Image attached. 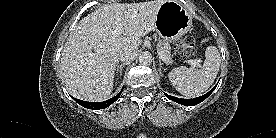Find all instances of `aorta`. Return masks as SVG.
<instances>
[{
  "instance_id": "aorta-1",
  "label": "aorta",
  "mask_w": 276,
  "mask_h": 138,
  "mask_svg": "<svg viewBox=\"0 0 276 138\" xmlns=\"http://www.w3.org/2000/svg\"><path fill=\"white\" fill-rule=\"evenodd\" d=\"M139 62L142 65H150L152 63V54L148 51L142 52L139 56Z\"/></svg>"
}]
</instances>
